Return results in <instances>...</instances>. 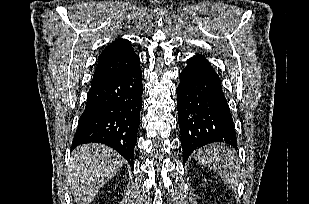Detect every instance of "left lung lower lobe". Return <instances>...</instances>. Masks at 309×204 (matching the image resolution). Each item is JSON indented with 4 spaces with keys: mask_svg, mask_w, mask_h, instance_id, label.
<instances>
[{
    "mask_svg": "<svg viewBox=\"0 0 309 204\" xmlns=\"http://www.w3.org/2000/svg\"><path fill=\"white\" fill-rule=\"evenodd\" d=\"M176 93L184 163L194 150L212 142H225L237 149L221 80L204 57L187 60Z\"/></svg>",
    "mask_w": 309,
    "mask_h": 204,
    "instance_id": "1",
    "label": "left lung lower lobe"
}]
</instances>
